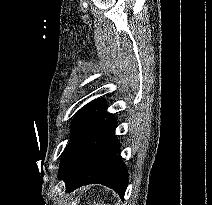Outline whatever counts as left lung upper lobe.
<instances>
[{
  "label": "left lung upper lobe",
  "instance_id": "1",
  "mask_svg": "<svg viewBox=\"0 0 212 205\" xmlns=\"http://www.w3.org/2000/svg\"><path fill=\"white\" fill-rule=\"evenodd\" d=\"M98 100H94L92 102H90L89 104H87L86 106H84L80 111L79 113L75 116L74 120H73V123H72V126H71V131L72 133H74L77 129V127L79 126L80 122L82 121V119L84 118V116L88 113V111L96 104ZM70 145V143H69ZM69 145L66 147V149L64 150L63 154H62V157H61V162H60V171L63 167V162H64V159L67 155V152H68V148H69Z\"/></svg>",
  "mask_w": 212,
  "mask_h": 205
}]
</instances>
